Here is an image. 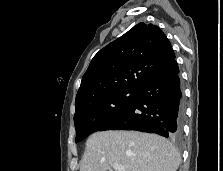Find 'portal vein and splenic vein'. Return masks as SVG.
Returning <instances> with one entry per match:
<instances>
[{
  "label": "portal vein and splenic vein",
  "mask_w": 223,
  "mask_h": 171,
  "mask_svg": "<svg viewBox=\"0 0 223 171\" xmlns=\"http://www.w3.org/2000/svg\"><path fill=\"white\" fill-rule=\"evenodd\" d=\"M113 169L115 171H126L125 167L124 166H121L119 164H113Z\"/></svg>",
  "instance_id": "portal-vein-and-splenic-vein-1"
}]
</instances>
